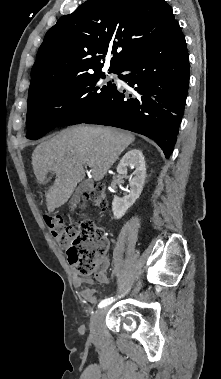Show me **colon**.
<instances>
[{"label": "colon", "mask_w": 221, "mask_h": 379, "mask_svg": "<svg viewBox=\"0 0 221 379\" xmlns=\"http://www.w3.org/2000/svg\"><path fill=\"white\" fill-rule=\"evenodd\" d=\"M95 206L106 207V193L101 185H94L84 194ZM44 222L52 237L67 249L70 265L80 276L92 274L99 261L106 255L107 242L104 232L89 219H79L73 225H65L59 216H44Z\"/></svg>", "instance_id": "1"}]
</instances>
